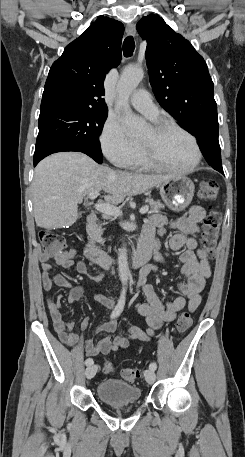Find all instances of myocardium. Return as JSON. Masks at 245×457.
Segmentation results:
<instances>
[{"label":"myocardium","mask_w":245,"mask_h":457,"mask_svg":"<svg viewBox=\"0 0 245 457\" xmlns=\"http://www.w3.org/2000/svg\"><path fill=\"white\" fill-rule=\"evenodd\" d=\"M152 129L156 133V135L160 136L163 133H165L168 130H178L181 133H183L185 136H187L191 142V147L194 152V161L193 163L186 168H172L163 165L161 162L151 158L145 151L144 147L137 143V152L140 157V159L145 163L146 166L154 168L156 170H161V171H167V172H173V173H180V174H185V173H190L195 168L198 166L200 160H201V151L199 149L198 143L196 138L186 129L178 125L177 123L171 121V120H160L156 123H154L152 126Z\"/></svg>","instance_id":"obj_1"}]
</instances>
